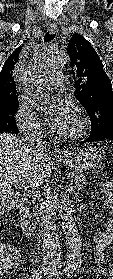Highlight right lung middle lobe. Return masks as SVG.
<instances>
[{"mask_svg": "<svg viewBox=\"0 0 113 279\" xmlns=\"http://www.w3.org/2000/svg\"><path fill=\"white\" fill-rule=\"evenodd\" d=\"M18 109V103L0 109V133L17 134L18 128L14 118Z\"/></svg>", "mask_w": 113, "mask_h": 279, "instance_id": "obj_1", "label": "right lung middle lobe"}]
</instances>
